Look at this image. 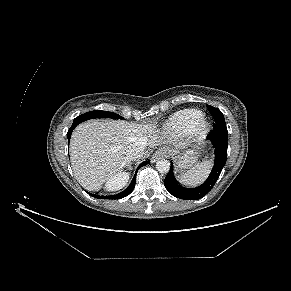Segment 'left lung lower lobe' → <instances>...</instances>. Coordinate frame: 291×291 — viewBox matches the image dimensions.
I'll list each match as a JSON object with an SVG mask.
<instances>
[{
  "mask_svg": "<svg viewBox=\"0 0 291 291\" xmlns=\"http://www.w3.org/2000/svg\"><path fill=\"white\" fill-rule=\"evenodd\" d=\"M208 139L215 148L214 165L206 181L196 188H184L180 186L173 175V165L167 174L164 185L166 189L175 197L180 198L183 193L189 194L191 199L197 200L204 197L215 185L227 159V127L224 125H215L214 130L209 133Z\"/></svg>",
  "mask_w": 291,
  "mask_h": 291,
  "instance_id": "obj_1",
  "label": "left lung lower lobe"
}]
</instances>
